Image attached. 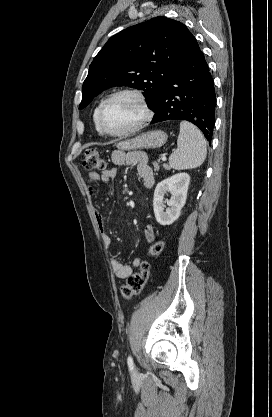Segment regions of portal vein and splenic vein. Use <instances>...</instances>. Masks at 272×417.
Returning a JSON list of instances; mask_svg holds the SVG:
<instances>
[{"label":"portal vein and splenic vein","mask_w":272,"mask_h":417,"mask_svg":"<svg viewBox=\"0 0 272 417\" xmlns=\"http://www.w3.org/2000/svg\"><path fill=\"white\" fill-rule=\"evenodd\" d=\"M161 159H162V161H166V156L162 155Z\"/></svg>","instance_id":"18ae733b"}]
</instances>
